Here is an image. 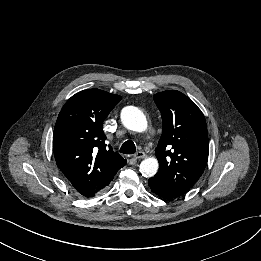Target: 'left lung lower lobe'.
<instances>
[{"label": "left lung lower lobe", "instance_id": "left-lung-lower-lobe-1", "mask_svg": "<svg viewBox=\"0 0 261 261\" xmlns=\"http://www.w3.org/2000/svg\"><path fill=\"white\" fill-rule=\"evenodd\" d=\"M148 184H149L151 191L159 197H162V198H177V197H179L176 194L167 190L160 182H158L153 177L149 179Z\"/></svg>", "mask_w": 261, "mask_h": 261}]
</instances>
